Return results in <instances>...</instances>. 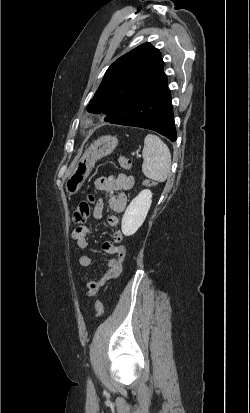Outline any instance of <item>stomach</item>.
<instances>
[{
  "label": "stomach",
  "mask_w": 250,
  "mask_h": 413,
  "mask_svg": "<svg viewBox=\"0 0 250 413\" xmlns=\"http://www.w3.org/2000/svg\"><path fill=\"white\" fill-rule=\"evenodd\" d=\"M117 145L118 139L110 135L102 136L93 142L67 177L65 181L66 193L69 196L76 194L88 178L95 163L112 153Z\"/></svg>",
  "instance_id": "0dacf381"
}]
</instances>
